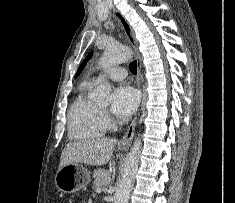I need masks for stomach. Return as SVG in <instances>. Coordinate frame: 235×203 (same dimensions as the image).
<instances>
[{"mask_svg":"<svg viewBox=\"0 0 235 203\" xmlns=\"http://www.w3.org/2000/svg\"><path fill=\"white\" fill-rule=\"evenodd\" d=\"M125 149V148H121ZM90 182V172L80 164H68L55 175L57 188L64 193H75Z\"/></svg>","mask_w":235,"mask_h":203,"instance_id":"obj_1","label":"stomach"}]
</instances>
